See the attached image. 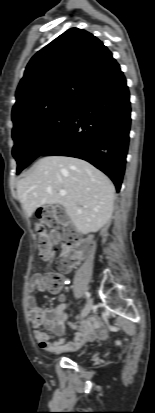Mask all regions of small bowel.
Segmentation results:
<instances>
[{
    "mask_svg": "<svg viewBox=\"0 0 155 413\" xmlns=\"http://www.w3.org/2000/svg\"><path fill=\"white\" fill-rule=\"evenodd\" d=\"M72 267L73 264L67 271H70ZM45 288L41 274L33 275L27 287L29 317L34 329V336L42 349L51 353L71 352L77 350L87 341L106 336L107 327L96 316L87 318L77 327L68 321L64 303L59 304L53 311H46L39 306L33 294L35 291H44ZM45 322L55 335H61L66 325L71 326L74 329L73 340L67 342L65 338H60L57 341H52L51 336L41 329Z\"/></svg>",
    "mask_w": 155,
    "mask_h": 413,
    "instance_id": "c3829d8e",
    "label": "small bowel"
}]
</instances>
